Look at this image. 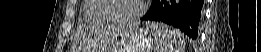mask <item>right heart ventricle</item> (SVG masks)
<instances>
[{
  "label": "right heart ventricle",
  "instance_id": "right-heart-ventricle-1",
  "mask_svg": "<svg viewBox=\"0 0 261 52\" xmlns=\"http://www.w3.org/2000/svg\"><path fill=\"white\" fill-rule=\"evenodd\" d=\"M108 0H85L83 15L92 24H112L113 21L106 9Z\"/></svg>",
  "mask_w": 261,
  "mask_h": 52
}]
</instances>
